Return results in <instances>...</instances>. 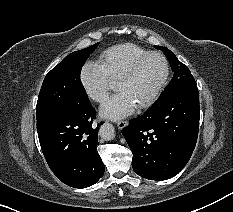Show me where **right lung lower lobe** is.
I'll return each mask as SVG.
<instances>
[{
    "instance_id": "1",
    "label": "right lung lower lobe",
    "mask_w": 233,
    "mask_h": 212,
    "mask_svg": "<svg viewBox=\"0 0 233 212\" xmlns=\"http://www.w3.org/2000/svg\"><path fill=\"white\" fill-rule=\"evenodd\" d=\"M96 110L83 105L64 112L37 128L42 152L53 173L66 185L85 188L95 184L105 167L99 154Z\"/></svg>"
}]
</instances>
